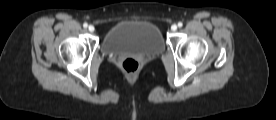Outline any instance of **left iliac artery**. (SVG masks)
Instances as JSON below:
<instances>
[{
  "label": "left iliac artery",
  "mask_w": 276,
  "mask_h": 120,
  "mask_svg": "<svg viewBox=\"0 0 276 120\" xmlns=\"http://www.w3.org/2000/svg\"><path fill=\"white\" fill-rule=\"evenodd\" d=\"M178 26H179V27H182V26H183V23H182V22H179V23H178Z\"/></svg>",
  "instance_id": "left-iliac-artery-1"
}]
</instances>
